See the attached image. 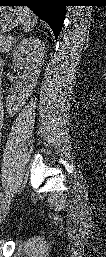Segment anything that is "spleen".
<instances>
[{
  "label": "spleen",
  "mask_w": 106,
  "mask_h": 257,
  "mask_svg": "<svg viewBox=\"0 0 106 257\" xmlns=\"http://www.w3.org/2000/svg\"><path fill=\"white\" fill-rule=\"evenodd\" d=\"M19 9V15H20V21L23 25V29L25 32L31 31L32 28L37 23L36 16L28 9L27 7L24 8H18Z\"/></svg>",
  "instance_id": "spleen-1"
}]
</instances>
